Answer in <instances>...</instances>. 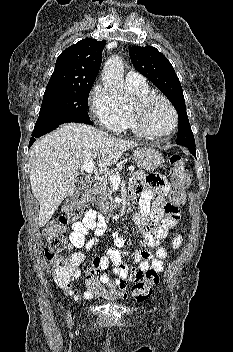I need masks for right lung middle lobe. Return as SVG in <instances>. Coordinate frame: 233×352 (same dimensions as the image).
<instances>
[{"label": "right lung middle lobe", "mask_w": 233, "mask_h": 352, "mask_svg": "<svg viewBox=\"0 0 233 352\" xmlns=\"http://www.w3.org/2000/svg\"><path fill=\"white\" fill-rule=\"evenodd\" d=\"M92 86L46 88L34 128L70 118L90 119L87 100Z\"/></svg>", "instance_id": "obj_1"}]
</instances>
